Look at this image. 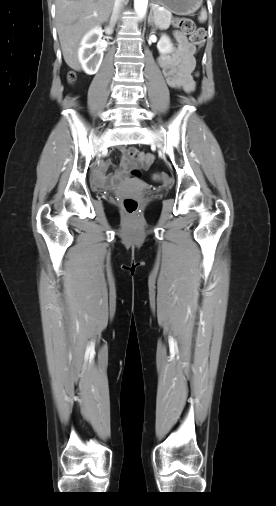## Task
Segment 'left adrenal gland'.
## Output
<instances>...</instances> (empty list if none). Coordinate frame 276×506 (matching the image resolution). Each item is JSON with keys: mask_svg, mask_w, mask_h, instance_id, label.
Returning a JSON list of instances; mask_svg holds the SVG:
<instances>
[{"mask_svg": "<svg viewBox=\"0 0 276 506\" xmlns=\"http://www.w3.org/2000/svg\"><path fill=\"white\" fill-rule=\"evenodd\" d=\"M153 11H154V8L152 7L151 8V11H150V14H149V18H148V23L154 27V22H155V19H154V16H153Z\"/></svg>", "mask_w": 276, "mask_h": 506, "instance_id": "left-adrenal-gland-1", "label": "left adrenal gland"}]
</instances>
